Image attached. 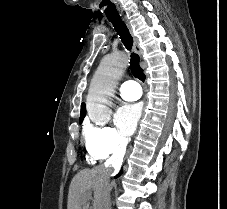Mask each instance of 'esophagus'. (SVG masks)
<instances>
[{"instance_id":"esophagus-1","label":"esophagus","mask_w":227,"mask_h":209,"mask_svg":"<svg viewBox=\"0 0 227 209\" xmlns=\"http://www.w3.org/2000/svg\"><path fill=\"white\" fill-rule=\"evenodd\" d=\"M120 18L124 20V22L126 23L127 27L129 28L130 34L133 36V40H134V50L138 55H142V49L139 45V40L133 35V30L132 27L129 23V15L128 14H121Z\"/></svg>"}]
</instances>
